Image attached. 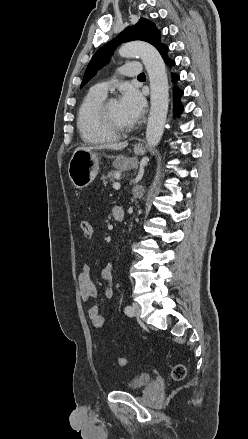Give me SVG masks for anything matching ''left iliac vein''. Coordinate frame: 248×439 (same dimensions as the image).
I'll return each instance as SVG.
<instances>
[{
	"instance_id": "obj_1",
	"label": "left iliac vein",
	"mask_w": 248,
	"mask_h": 439,
	"mask_svg": "<svg viewBox=\"0 0 248 439\" xmlns=\"http://www.w3.org/2000/svg\"><path fill=\"white\" fill-rule=\"evenodd\" d=\"M132 309H133L132 316L139 317L140 316V312H141L140 305L138 303H133L132 304Z\"/></svg>"
}]
</instances>
